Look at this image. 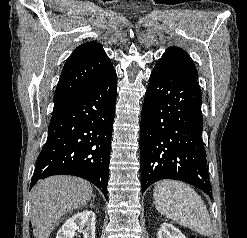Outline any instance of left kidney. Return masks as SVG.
<instances>
[{"label":"left kidney","mask_w":247,"mask_h":238,"mask_svg":"<svg viewBox=\"0 0 247 238\" xmlns=\"http://www.w3.org/2000/svg\"><path fill=\"white\" fill-rule=\"evenodd\" d=\"M157 238H186L179 229L169 223H163L158 230Z\"/></svg>","instance_id":"1"}]
</instances>
